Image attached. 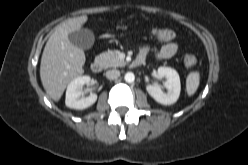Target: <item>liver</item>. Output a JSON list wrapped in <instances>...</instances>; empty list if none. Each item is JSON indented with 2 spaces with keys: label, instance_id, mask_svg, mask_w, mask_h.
<instances>
[{
  "label": "liver",
  "instance_id": "obj_1",
  "mask_svg": "<svg viewBox=\"0 0 248 165\" xmlns=\"http://www.w3.org/2000/svg\"><path fill=\"white\" fill-rule=\"evenodd\" d=\"M87 19L83 15L59 24L45 45L40 78L46 93L54 101H59L66 86L84 72V51L70 42L69 34L80 30Z\"/></svg>",
  "mask_w": 248,
  "mask_h": 165
}]
</instances>
